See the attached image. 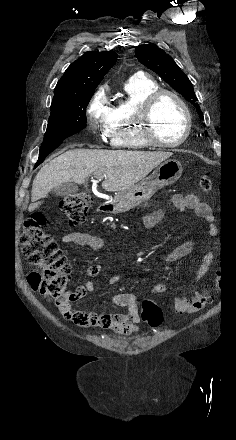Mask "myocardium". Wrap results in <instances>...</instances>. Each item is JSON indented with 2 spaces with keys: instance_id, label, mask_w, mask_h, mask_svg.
I'll return each mask as SVG.
<instances>
[{
  "instance_id": "myocardium-1",
  "label": "myocardium",
  "mask_w": 236,
  "mask_h": 440,
  "mask_svg": "<svg viewBox=\"0 0 236 440\" xmlns=\"http://www.w3.org/2000/svg\"><path fill=\"white\" fill-rule=\"evenodd\" d=\"M163 96L172 97L182 108L185 116V129L180 139L174 142H163L155 133L153 112L159 99ZM140 130L145 141L154 147L174 148L182 145L189 137L192 129V116L184 99L175 91L166 88H157L151 92L142 102L138 115Z\"/></svg>"
}]
</instances>
